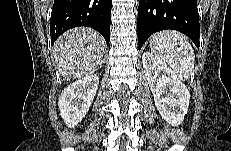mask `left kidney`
<instances>
[{"instance_id": "left-kidney-1", "label": "left kidney", "mask_w": 231, "mask_h": 151, "mask_svg": "<svg viewBox=\"0 0 231 151\" xmlns=\"http://www.w3.org/2000/svg\"><path fill=\"white\" fill-rule=\"evenodd\" d=\"M142 63L160 115L168 124L180 125L188 111L189 90L167 64L152 53L144 52Z\"/></svg>"}]
</instances>
